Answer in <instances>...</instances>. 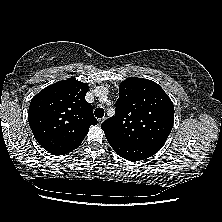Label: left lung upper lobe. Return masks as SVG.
<instances>
[{
	"label": "left lung upper lobe",
	"instance_id": "obj_1",
	"mask_svg": "<svg viewBox=\"0 0 222 222\" xmlns=\"http://www.w3.org/2000/svg\"><path fill=\"white\" fill-rule=\"evenodd\" d=\"M174 123V105L157 83L130 77L119 86L115 115L101 128L106 139L162 148Z\"/></svg>",
	"mask_w": 222,
	"mask_h": 222
}]
</instances>
